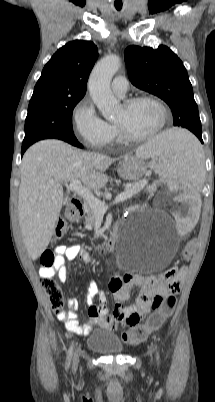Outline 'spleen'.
Segmentation results:
<instances>
[{
	"label": "spleen",
	"instance_id": "3e777b00",
	"mask_svg": "<svg viewBox=\"0 0 215 402\" xmlns=\"http://www.w3.org/2000/svg\"><path fill=\"white\" fill-rule=\"evenodd\" d=\"M137 155L150 157L148 167L162 178L178 179L179 184H191V187H196V182H203L202 143L198 133H190L189 128H166L165 132L142 145Z\"/></svg>",
	"mask_w": 215,
	"mask_h": 402
}]
</instances>
